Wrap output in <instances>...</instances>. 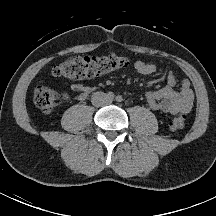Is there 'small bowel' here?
Returning <instances> with one entry per match:
<instances>
[{
    "instance_id": "c3829d8e",
    "label": "small bowel",
    "mask_w": 216,
    "mask_h": 216,
    "mask_svg": "<svg viewBox=\"0 0 216 216\" xmlns=\"http://www.w3.org/2000/svg\"><path fill=\"white\" fill-rule=\"evenodd\" d=\"M135 69L142 75H151L158 71L156 65L137 61ZM178 84L177 77L172 70L166 72V86L156 90L145 93V99L148 105L157 111L178 114L188 113L194 105V93L191 88L190 82L186 79L182 80L179 89L175 87ZM70 89L78 94V97L83 100L91 92V88L83 85L82 83H73Z\"/></svg>"
}]
</instances>
